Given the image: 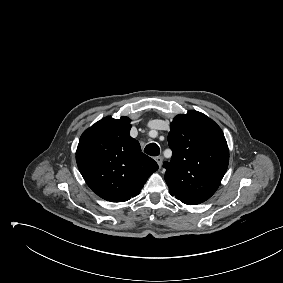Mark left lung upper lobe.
<instances>
[{
    "label": "left lung upper lobe",
    "mask_w": 283,
    "mask_h": 283,
    "mask_svg": "<svg viewBox=\"0 0 283 283\" xmlns=\"http://www.w3.org/2000/svg\"><path fill=\"white\" fill-rule=\"evenodd\" d=\"M170 127L168 142L173 155L163 165L169 192L187 205L203 203L216 192L228 167L223 131L195 110L177 115Z\"/></svg>",
    "instance_id": "5c2ea615"
}]
</instances>
